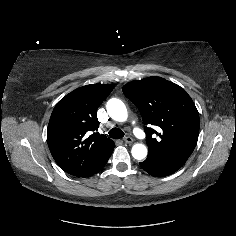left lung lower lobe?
I'll return each mask as SVG.
<instances>
[{
  "instance_id": "left-lung-lower-lobe-1",
  "label": "left lung lower lobe",
  "mask_w": 236,
  "mask_h": 236,
  "mask_svg": "<svg viewBox=\"0 0 236 236\" xmlns=\"http://www.w3.org/2000/svg\"><path fill=\"white\" fill-rule=\"evenodd\" d=\"M186 160L182 159H162L148 156L147 159L140 163V166L150 175L155 177H165L179 170Z\"/></svg>"
}]
</instances>
